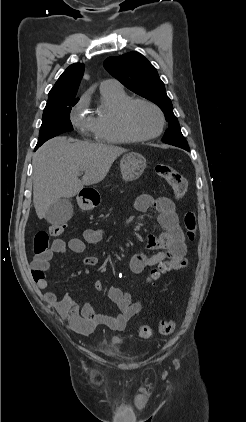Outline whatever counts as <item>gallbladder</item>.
Instances as JSON below:
<instances>
[{"mask_svg":"<svg viewBox=\"0 0 246 422\" xmlns=\"http://www.w3.org/2000/svg\"><path fill=\"white\" fill-rule=\"evenodd\" d=\"M73 215V206L68 198H59L46 212L45 219L50 224L61 225Z\"/></svg>","mask_w":246,"mask_h":422,"instance_id":"1","label":"gallbladder"}]
</instances>
